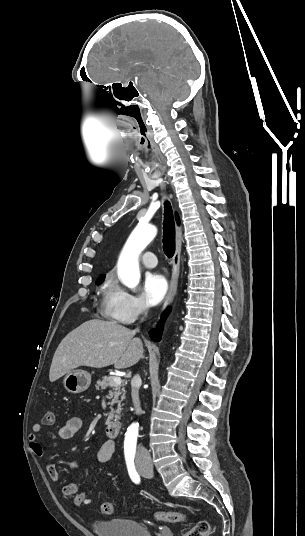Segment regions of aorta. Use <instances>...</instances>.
<instances>
[{
    "label": "aorta",
    "mask_w": 305,
    "mask_h": 536,
    "mask_svg": "<svg viewBox=\"0 0 305 536\" xmlns=\"http://www.w3.org/2000/svg\"><path fill=\"white\" fill-rule=\"evenodd\" d=\"M157 228L150 224H139L131 233L120 254L117 272L121 282L134 290L140 281L139 256L155 238Z\"/></svg>",
    "instance_id": "762f6f07"
}]
</instances>
